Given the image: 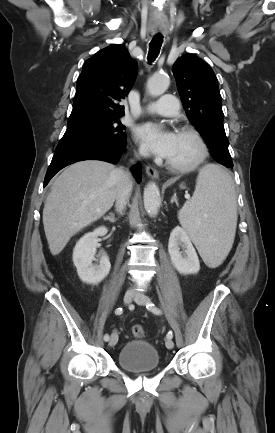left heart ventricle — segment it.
Returning <instances> with one entry per match:
<instances>
[{
    "label": "left heart ventricle",
    "instance_id": "b2bd125f",
    "mask_svg": "<svg viewBox=\"0 0 275 433\" xmlns=\"http://www.w3.org/2000/svg\"><path fill=\"white\" fill-rule=\"evenodd\" d=\"M197 141L186 134L177 133L174 146L167 160L177 165H189L199 156Z\"/></svg>",
    "mask_w": 275,
    "mask_h": 433
}]
</instances>
